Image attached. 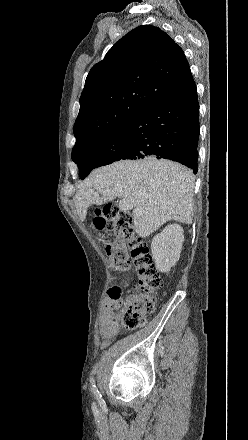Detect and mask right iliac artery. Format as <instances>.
I'll use <instances>...</instances> for the list:
<instances>
[{
	"instance_id": "obj_1",
	"label": "right iliac artery",
	"mask_w": 248,
	"mask_h": 440,
	"mask_svg": "<svg viewBox=\"0 0 248 440\" xmlns=\"http://www.w3.org/2000/svg\"><path fill=\"white\" fill-rule=\"evenodd\" d=\"M95 369H96V367H95ZM91 384H92L91 389H92L93 393L96 395V397H97V398H98V397H101V395H100L98 389L96 388V385H95V382H94V379H93V378L91 379Z\"/></svg>"
}]
</instances>
